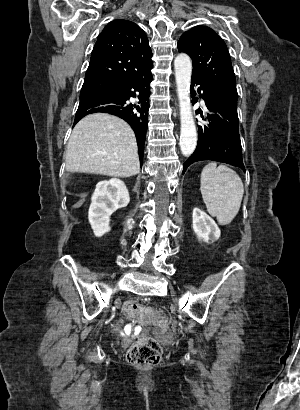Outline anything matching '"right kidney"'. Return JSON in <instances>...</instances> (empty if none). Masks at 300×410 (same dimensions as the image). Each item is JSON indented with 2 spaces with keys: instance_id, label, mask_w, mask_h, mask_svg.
<instances>
[{
  "instance_id": "right-kidney-1",
  "label": "right kidney",
  "mask_w": 300,
  "mask_h": 410,
  "mask_svg": "<svg viewBox=\"0 0 300 410\" xmlns=\"http://www.w3.org/2000/svg\"><path fill=\"white\" fill-rule=\"evenodd\" d=\"M130 201L129 192L123 181L113 178L100 181L91 198L88 219L96 237L110 231V216Z\"/></svg>"
}]
</instances>
